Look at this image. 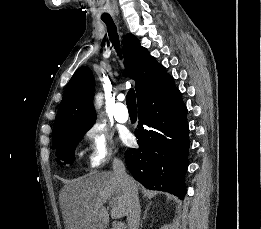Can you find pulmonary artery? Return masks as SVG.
Returning a JSON list of instances; mask_svg holds the SVG:
<instances>
[{
	"label": "pulmonary artery",
	"mask_w": 261,
	"mask_h": 229,
	"mask_svg": "<svg viewBox=\"0 0 261 229\" xmlns=\"http://www.w3.org/2000/svg\"><path fill=\"white\" fill-rule=\"evenodd\" d=\"M124 100L123 95L118 96V102L115 105L114 116L118 122L124 123L129 119V113L126 106L122 103Z\"/></svg>",
	"instance_id": "e3ab8cb5"
}]
</instances>
